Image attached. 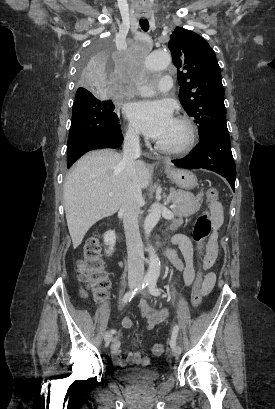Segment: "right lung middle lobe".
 <instances>
[{
	"instance_id": "1",
	"label": "right lung middle lobe",
	"mask_w": 275,
	"mask_h": 409,
	"mask_svg": "<svg viewBox=\"0 0 275 409\" xmlns=\"http://www.w3.org/2000/svg\"><path fill=\"white\" fill-rule=\"evenodd\" d=\"M115 49L113 36H96L90 50H85L84 57L80 58L77 89L90 91L76 92L62 178L68 177L73 163L86 152L121 146L123 136L115 110L122 105V96H106L101 92L120 88L112 67L113 59L119 58V51Z\"/></svg>"
}]
</instances>
